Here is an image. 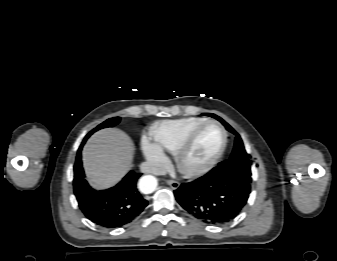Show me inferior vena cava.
Listing matches in <instances>:
<instances>
[{
	"mask_svg": "<svg viewBox=\"0 0 337 261\" xmlns=\"http://www.w3.org/2000/svg\"><path fill=\"white\" fill-rule=\"evenodd\" d=\"M141 172L148 173V174H154V175H165L166 170L159 164L154 162H144L140 166Z\"/></svg>",
	"mask_w": 337,
	"mask_h": 261,
	"instance_id": "obj_1",
	"label": "inferior vena cava"
}]
</instances>
